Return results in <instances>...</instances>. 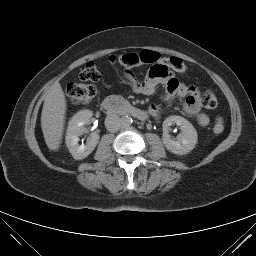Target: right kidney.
<instances>
[{
	"label": "right kidney",
	"mask_w": 256,
	"mask_h": 256,
	"mask_svg": "<svg viewBox=\"0 0 256 256\" xmlns=\"http://www.w3.org/2000/svg\"><path fill=\"white\" fill-rule=\"evenodd\" d=\"M93 113L90 110H81L77 112L69 121L66 132V146L71 155L76 160L86 158L95 149L99 142V134L91 133L86 144L79 145V136L85 131V125L90 122Z\"/></svg>",
	"instance_id": "1"
}]
</instances>
